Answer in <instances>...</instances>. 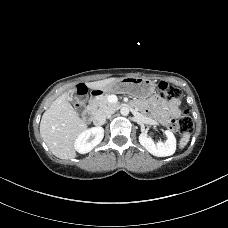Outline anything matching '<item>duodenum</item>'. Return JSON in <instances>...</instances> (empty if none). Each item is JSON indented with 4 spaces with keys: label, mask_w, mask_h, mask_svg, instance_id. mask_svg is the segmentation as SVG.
I'll use <instances>...</instances> for the list:
<instances>
[{
    "label": "duodenum",
    "mask_w": 228,
    "mask_h": 228,
    "mask_svg": "<svg viewBox=\"0 0 228 228\" xmlns=\"http://www.w3.org/2000/svg\"><path fill=\"white\" fill-rule=\"evenodd\" d=\"M99 95H101V92H97V93L94 94L93 97H91L90 103H89V105H88V108L84 111V115H83V119H84L85 122H90V121H91V119H92L91 105H92L94 99H95L97 96H99Z\"/></svg>",
    "instance_id": "duodenum-1"
}]
</instances>
